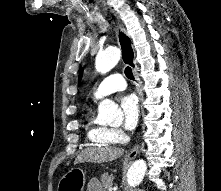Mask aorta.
Wrapping results in <instances>:
<instances>
[{
    "instance_id": "762f6f07",
    "label": "aorta",
    "mask_w": 221,
    "mask_h": 191,
    "mask_svg": "<svg viewBox=\"0 0 221 191\" xmlns=\"http://www.w3.org/2000/svg\"><path fill=\"white\" fill-rule=\"evenodd\" d=\"M120 60V51L117 47H108L97 54L95 68L105 74L109 72ZM99 118L106 123H112L122 118V111L113 101L103 100L98 107ZM147 170V164L143 159L136 160L127 172V182L131 187L138 186L143 180Z\"/></svg>"
}]
</instances>
